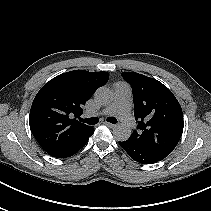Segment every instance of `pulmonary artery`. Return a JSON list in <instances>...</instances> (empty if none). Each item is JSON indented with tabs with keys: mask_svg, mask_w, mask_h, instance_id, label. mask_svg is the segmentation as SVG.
Masks as SVG:
<instances>
[{
	"mask_svg": "<svg viewBox=\"0 0 211 211\" xmlns=\"http://www.w3.org/2000/svg\"><path fill=\"white\" fill-rule=\"evenodd\" d=\"M131 87L124 82L114 85V99L112 103L103 108L100 115H115L128 128H134L136 123L131 115Z\"/></svg>",
	"mask_w": 211,
	"mask_h": 211,
	"instance_id": "e3ab8cb5",
	"label": "pulmonary artery"
}]
</instances>
